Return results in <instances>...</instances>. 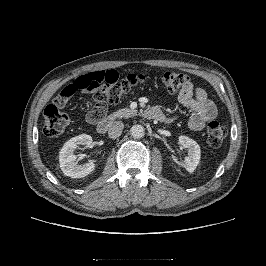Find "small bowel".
Masks as SVG:
<instances>
[{"mask_svg": "<svg viewBox=\"0 0 266 266\" xmlns=\"http://www.w3.org/2000/svg\"><path fill=\"white\" fill-rule=\"evenodd\" d=\"M178 101L192 112L188 119V125L192 130H202L206 123L217 115L216 106L208 99L206 91L201 87H195L190 82L180 90ZM93 110H98L101 113L105 112V105L97 96L95 97V108Z\"/></svg>", "mask_w": 266, "mask_h": 266, "instance_id": "c3829d8e", "label": "small bowel"}]
</instances>
